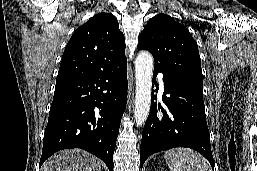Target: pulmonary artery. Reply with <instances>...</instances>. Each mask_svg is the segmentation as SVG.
<instances>
[{"label":"pulmonary artery","mask_w":257,"mask_h":171,"mask_svg":"<svg viewBox=\"0 0 257 171\" xmlns=\"http://www.w3.org/2000/svg\"><path fill=\"white\" fill-rule=\"evenodd\" d=\"M159 78H160V89H161V91H163L164 84H163V81H162V75H160Z\"/></svg>","instance_id":"obj_1"}]
</instances>
